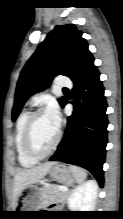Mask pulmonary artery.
<instances>
[{
	"label": "pulmonary artery",
	"mask_w": 123,
	"mask_h": 219,
	"mask_svg": "<svg viewBox=\"0 0 123 219\" xmlns=\"http://www.w3.org/2000/svg\"><path fill=\"white\" fill-rule=\"evenodd\" d=\"M56 85L62 88H70L72 87V81L64 76H59L56 79Z\"/></svg>",
	"instance_id": "pulmonary-artery-1"
}]
</instances>
